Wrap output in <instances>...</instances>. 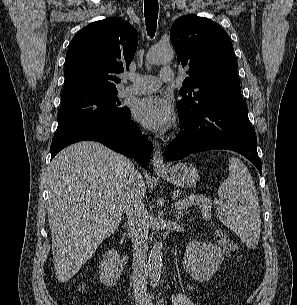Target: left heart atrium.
<instances>
[{"instance_id":"obj_1","label":"left heart atrium","mask_w":297,"mask_h":305,"mask_svg":"<svg viewBox=\"0 0 297 305\" xmlns=\"http://www.w3.org/2000/svg\"><path fill=\"white\" fill-rule=\"evenodd\" d=\"M133 114L141 125L156 132H165L173 123L170 101L156 95L139 100L134 106Z\"/></svg>"}]
</instances>
